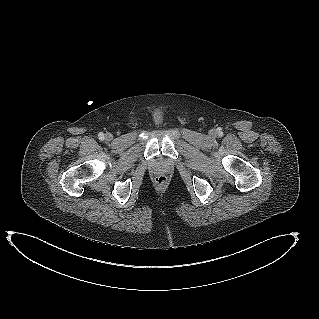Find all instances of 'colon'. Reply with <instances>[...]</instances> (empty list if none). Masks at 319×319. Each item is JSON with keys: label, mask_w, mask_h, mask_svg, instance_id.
Segmentation results:
<instances>
[{"label": "colon", "mask_w": 319, "mask_h": 319, "mask_svg": "<svg viewBox=\"0 0 319 319\" xmlns=\"http://www.w3.org/2000/svg\"><path fill=\"white\" fill-rule=\"evenodd\" d=\"M155 182L160 185V186H163L166 184L167 182V176L166 175H158L156 178H155Z\"/></svg>", "instance_id": "5ec220e1"}]
</instances>
